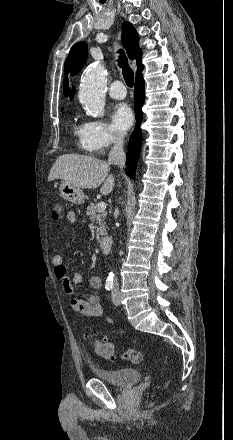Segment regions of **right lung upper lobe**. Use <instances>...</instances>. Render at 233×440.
Returning a JSON list of instances; mask_svg holds the SVG:
<instances>
[{
    "mask_svg": "<svg viewBox=\"0 0 233 440\" xmlns=\"http://www.w3.org/2000/svg\"><path fill=\"white\" fill-rule=\"evenodd\" d=\"M122 44L126 49V52L130 59L137 60L138 71L137 75L141 74L142 64H141V51L139 49V37L138 34L133 27V25L129 22H124L122 24ZM87 59V44L85 42L76 43L70 50L68 57L65 60L64 73L68 75H76L83 65L85 64ZM64 96L70 99L74 97V88L72 90L68 87V78L65 76L64 78Z\"/></svg>",
    "mask_w": 233,
    "mask_h": 440,
    "instance_id": "cb5924a9",
    "label": "right lung upper lobe"
}]
</instances>
